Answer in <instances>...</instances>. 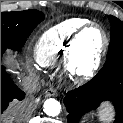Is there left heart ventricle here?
I'll use <instances>...</instances> for the list:
<instances>
[{"mask_svg":"<svg viewBox=\"0 0 123 123\" xmlns=\"http://www.w3.org/2000/svg\"><path fill=\"white\" fill-rule=\"evenodd\" d=\"M102 43V34L96 27L89 28L82 36L77 45V52L82 60L83 67L92 63Z\"/></svg>","mask_w":123,"mask_h":123,"instance_id":"1","label":"left heart ventricle"}]
</instances>
